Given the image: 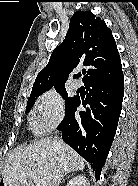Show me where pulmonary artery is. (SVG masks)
<instances>
[{"label":"pulmonary artery","instance_id":"1","mask_svg":"<svg viewBox=\"0 0 138 186\" xmlns=\"http://www.w3.org/2000/svg\"><path fill=\"white\" fill-rule=\"evenodd\" d=\"M72 87H73L74 89H79V87H80V82H79L77 79L73 80V82H72Z\"/></svg>","mask_w":138,"mask_h":186}]
</instances>
